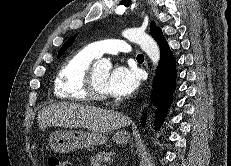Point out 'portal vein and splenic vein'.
Returning <instances> with one entry per match:
<instances>
[{
  "label": "portal vein and splenic vein",
  "instance_id": "1",
  "mask_svg": "<svg viewBox=\"0 0 231 166\" xmlns=\"http://www.w3.org/2000/svg\"><path fill=\"white\" fill-rule=\"evenodd\" d=\"M105 162L110 163L111 162L110 157L105 158Z\"/></svg>",
  "mask_w": 231,
  "mask_h": 166
}]
</instances>
